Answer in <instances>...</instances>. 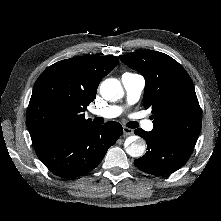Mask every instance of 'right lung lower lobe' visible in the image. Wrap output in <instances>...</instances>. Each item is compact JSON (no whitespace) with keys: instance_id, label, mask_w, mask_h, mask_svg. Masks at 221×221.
Wrapping results in <instances>:
<instances>
[{"instance_id":"right-lung-lower-lobe-1","label":"right lung lower lobe","mask_w":221,"mask_h":221,"mask_svg":"<svg viewBox=\"0 0 221 221\" xmlns=\"http://www.w3.org/2000/svg\"><path fill=\"white\" fill-rule=\"evenodd\" d=\"M122 132L118 122L110 121L103 126L92 123L58 132L34 148L52 173L75 178L97 167Z\"/></svg>"}]
</instances>
